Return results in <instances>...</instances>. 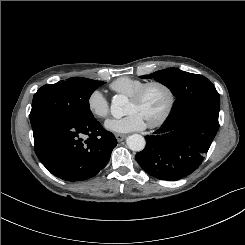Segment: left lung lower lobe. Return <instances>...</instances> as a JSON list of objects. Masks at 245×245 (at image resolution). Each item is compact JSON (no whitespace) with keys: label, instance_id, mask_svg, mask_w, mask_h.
<instances>
[{"label":"left lung lower lobe","instance_id":"1","mask_svg":"<svg viewBox=\"0 0 245 245\" xmlns=\"http://www.w3.org/2000/svg\"><path fill=\"white\" fill-rule=\"evenodd\" d=\"M219 109L198 107L164 122L146 136V147L136 154L149 175L167 181L190 175L201 165L218 129Z\"/></svg>","mask_w":245,"mask_h":245}]
</instances>
